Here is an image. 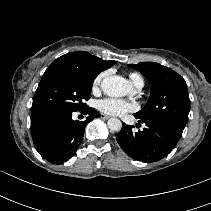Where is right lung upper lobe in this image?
<instances>
[{
	"mask_svg": "<svg viewBox=\"0 0 211 211\" xmlns=\"http://www.w3.org/2000/svg\"><path fill=\"white\" fill-rule=\"evenodd\" d=\"M115 61H105L84 51L67 53L57 58L48 68L69 67L82 72L99 74L103 70L112 67Z\"/></svg>",
	"mask_w": 211,
	"mask_h": 211,
	"instance_id": "cb5924a9",
	"label": "right lung upper lobe"
}]
</instances>
